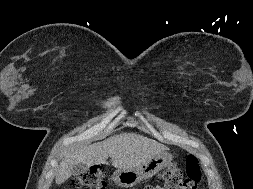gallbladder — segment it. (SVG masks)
I'll list each match as a JSON object with an SVG mask.
<instances>
[{"label":"gallbladder","instance_id":"bac80fb5","mask_svg":"<svg viewBox=\"0 0 253 189\" xmlns=\"http://www.w3.org/2000/svg\"><path fill=\"white\" fill-rule=\"evenodd\" d=\"M88 168L89 167L84 164H77L73 168L72 175L78 176L81 173H85L87 172Z\"/></svg>","mask_w":253,"mask_h":189}]
</instances>
